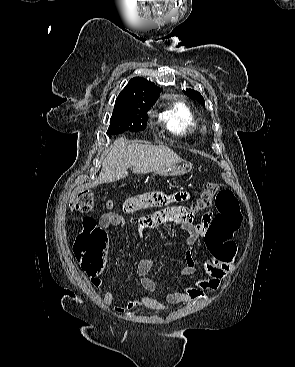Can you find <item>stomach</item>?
<instances>
[{
	"label": "stomach",
	"instance_id": "1",
	"mask_svg": "<svg viewBox=\"0 0 295 367\" xmlns=\"http://www.w3.org/2000/svg\"><path fill=\"white\" fill-rule=\"evenodd\" d=\"M192 169V166L190 164L187 163H182V164H175L171 167L162 169L160 171H158L157 173L161 176H180V175H184L187 174L188 172H190Z\"/></svg>",
	"mask_w": 295,
	"mask_h": 367
}]
</instances>
